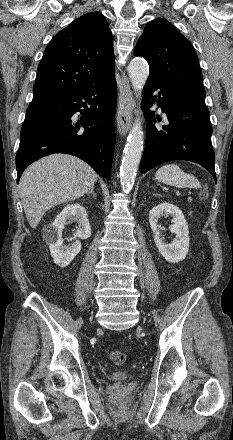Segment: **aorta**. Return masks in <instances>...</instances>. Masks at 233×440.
I'll use <instances>...</instances> for the list:
<instances>
[{"mask_svg":"<svg viewBox=\"0 0 233 440\" xmlns=\"http://www.w3.org/2000/svg\"><path fill=\"white\" fill-rule=\"evenodd\" d=\"M129 78L135 92H141L149 76V66L140 57L134 58L128 66ZM143 150V130L140 118H137L127 138L124 149L121 172V184L125 192L134 184Z\"/></svg>","mask_w":233,"mask_h":440,"instance_id":"1","label":"aorta"}]
</instances>
